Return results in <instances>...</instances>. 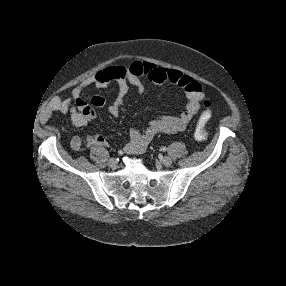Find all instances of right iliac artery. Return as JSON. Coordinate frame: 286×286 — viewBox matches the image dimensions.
I'll list each match as a JSON object with an SVG mask.
<instances>
[{"instance_id": "82829eb1", "label": "right iliac artery", "mask_w": 286, "mask_h": 286, "mask_svg": "<svg viewBox=\"0 0 286 286\" xmlns=\"http://www.w3.org/2000/svg\"><path fill=\"white\" fill-rule=\"evenodd\" d=\"M118 156H123V150H118Z\"/></svg>"}]
</instances>
